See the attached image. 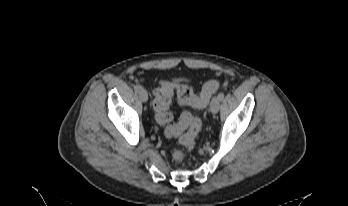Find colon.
<instances>
[{"mask_svg": "<svg viewBox=\"0 0 348 206\" xmlns=\"http://www.w3.org/2000/svg\"><path fill=\"white\" fill-rule=\"evenodd\" d=\"M220 88L217 80H209L202 88L199 96L195 95L192 88L186 85L174 86L169 83L163 84L155 91L154 94V110L157 122L164 126V133L167 137H179L180 144L190 150L195 145L197 134L201 127V122L188 112L181 115L178 124L170 125L172 114L169 111V104L174 94L180 105H189L194 108H203L207 106L211 96ZM187 130L185 133L183 131ZM185 150L177 149L173 151L172 158L176 162L183 160Z\"/></svg>", "mask_w": 348, "mask_h": 206, "instance_id": "1", "label": "colon"}]
</instances>
